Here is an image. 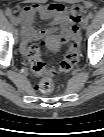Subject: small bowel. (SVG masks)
<instances>
[{
  "label": "small bowel",
  "instance_id": "small-bowel-1",
  "mask_svg": "<svg viewBox=\"0 0 104 137\" xmlns=\"http://www.w3.org/2000/svg\"><path fill=\"white\" fill-rule=\"evenodd\" d=\"M36 15L42 19L51 20V30L36 31L33 28V20ZM19 21L22 26L21 49L26 50L33 39H41L50 31H59L77 39L79 24L81 21V9L79 6H68L63 3L32 4L23 7L19 12Z\"/></svg>",
  "mask_w": 104,
  "mask_h": 137
}]
</instances>
